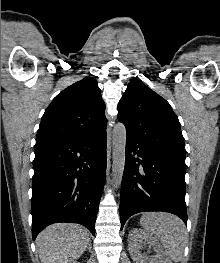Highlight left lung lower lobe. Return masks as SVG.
Here are the masks:
<instances>
[{"label":"left lung lower lobe","mask_w":220,"mask_h":263,"mask_svg":"<svg viewBox=\"0 0 220 263\" xmlns=\"http://www.w3.org/2000/svg\"><path fill=\"white\" fill-rule=\"evenodd\" d=\"M185 172V161L126 135L121 229L130 216L145 211L169 212L187 224Z\"/></svg>","instance_id":"obj_1"}]
</instances>
